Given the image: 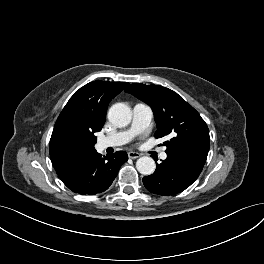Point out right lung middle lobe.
<instances>
[{
    "mask_svg": "<svg viewBox=\"0 0 264 264\" xmlns=\"http://www.w3.org/2000/svg\"><path fill=\"white\" fill-rule=\"evenodd\" d=\"M96 137L75 136L67 140V147L81 156L95 150Z\"/></svg>",
    "mask_w": 264,
    "mask_h": 264,
    "instance_id": "1",
    "label": "right lung middle lobe"
}]
</instances>
